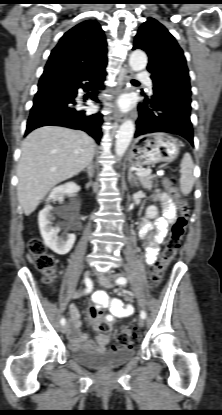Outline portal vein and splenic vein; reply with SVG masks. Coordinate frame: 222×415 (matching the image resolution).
Here are the masks:
<instances>
[{"mask_svg":"<svg viewBox=\"0 0 222 415\" xmlns=\"http://www.w3.org/2000/svg\"><path fill=\"white\" fill-rule=\"evenodd\" d=\"M150 173H151V169H145V170H140L136 172L137 175L150 174Z\"/></svg>","mask_w":222,"mask_h":415,"instance_id":"obj_1","label":"portal vein and splenic vein"}]
</instances>
